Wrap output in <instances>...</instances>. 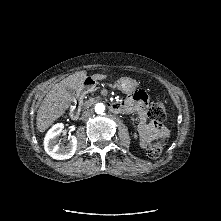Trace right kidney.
Instances as JSON below:
<instances>
[{"mask_svg": "<svg viewBox=\"0 0 221 221\" xmlns=\"http://www.w3.org/2000/svg\"><path fill=\"white\" fill-rule=\"evenodd\" d=\"M64 125L58 123L54 125L46 134L44 139V148L46 153L53 159L64 160L71 158L77 148V138L71 136L67 145H60L57 143V138L61 134Z\"/></svg>", "mask_w": 221, "mask_h": 221, "instance_id": "right-kidney-1", "label": "right kidney"}]
</instances>
